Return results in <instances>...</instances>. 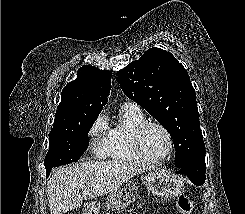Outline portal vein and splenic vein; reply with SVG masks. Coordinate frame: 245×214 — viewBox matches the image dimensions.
<instances>
[{
    "label": "portal vein and splenic vein",
    "mask_w": 245,
    "mask_h": 214,
    "mask_svg": "<svg viewBox=\"0 0 245 214\" xmlns=\"http://www.w3.org/2000/svg\"><path fill=\"white\" fill-rule=\"evenodd\" d=\"M80 186H81V187H84V186H85V184H81Z\"/></svg>",
    "instance_id": "18ae733b"
}]
</instances>
